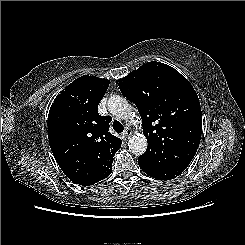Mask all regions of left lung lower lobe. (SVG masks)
I'll list each match as a JSON object with an SVG mask.
<instances>
[{
    "instance_id": "left-lung-lower-lobe-1",
    "label": "left lung lower lobe",
    "mask_w": 245,
    "mask_h": 245,
    "mask_svg": "<svg viewBox=\"0 0 245 245\" xmlns=\"http://www.w3.org/2000/svg\"><path fill=\"white\" fill-rule=\"evenodd\" d=\"M139 166L146 174H148L149 176H151L155 179H158V180L166 181V180H171V179L176 178V176H174V175L164 174L158 170L148 168V167L143 166L141 164H139Z\"/></svg>"
}]
</instances>
